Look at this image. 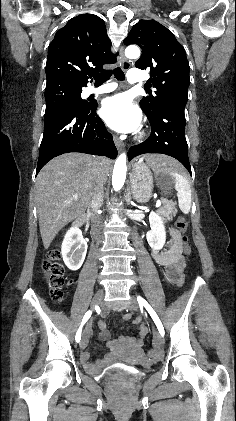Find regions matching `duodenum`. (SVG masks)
<instances>
[{
	"mask_svg": "<svg viewBox=\"0 0 236 421\" xmlns=\"http://www.w3.org/2000/svg\"><path fill=\"white\" fill-rule=\"evenodd\" d=\"M86 216L81 215L73 222V228L75 230L79 229L85 222ZM153 257L158 264L163 266L166 271L167 280L171 283L177 282L180 277L182 270L184 268V262L180 256V251L172 245L168 250L163 252L153 251ZM113 355L106 356L103 360L98 361L96 364H91L88 362V357L83 356L82 362L86 370L92 374L99 373L111 360H113Z\"/></svg>",
	"mask_w": 236,
	"mask_h": 421,
	"instance_id": "obj_1",
	"label": "duodenum"
}]
</instances>
